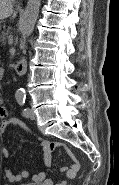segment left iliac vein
Instances as JSON below:
<instances>
[{
  "instance_id": "left-iliac-vein-1",
  "label": "left iliac vein",
  "mask_w": 119,
  "mask_h": 185,
  "mask_svg": "<svg viewBox=\"0 0 119 185\" xmlns=\"http://www.w3.org/2000/svg\"><path fill=\"white\" fill-rule=\"evenodd\" d=\"M28 117H29L30 119H35V118H36V115H35L34 110H33L32 108L29 109Z\"/></svg>"
}]
</instances>
